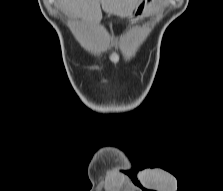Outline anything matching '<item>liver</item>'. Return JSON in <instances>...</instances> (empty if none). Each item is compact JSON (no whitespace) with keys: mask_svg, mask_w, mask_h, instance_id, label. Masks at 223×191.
Returning a JSON list of instances; mask_svg holds the SVG:
<instances>
[{"mask_svg":"<svg viewBox=\"0 0 223 191\" xmlns=\"http://www.w3.org/2000/svg\"><path fill=\"white\" fill-rule=\"evenodd\" d=\"M139 0H59L62 10L66 14L82 18L93 24L100 23L102 9L108 14L121 18L128 17Z\"/></svg>","mask_w":223,"mask_h":191,"instance_id":"obj_1","label":"liver"}]
</instances>
